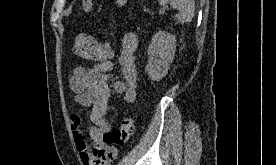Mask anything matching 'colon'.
I'll return each mask as SVG.
<instances>
[{"instance_id":"obj_1","label":"colon","mask_w":276,"mask_h":165,"mask_svg":"<svg viewBox=\"0 0 276 165\" xmlns=\"http://www.w3.org/2000/svg\"><path fill=\"white\" fill-rule=\"evenodd\" d=\"M118 6L125 4L126 0H115ZM74 53L85 60L102 61L112 56L113 52L109 45L95 40L93 37L78 33L74 38ZM134 121L130 117L121 120L118 128L103 135L102 142L108 147L126 143L134 133Z\"/></svg>"}]
</instances>
